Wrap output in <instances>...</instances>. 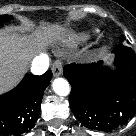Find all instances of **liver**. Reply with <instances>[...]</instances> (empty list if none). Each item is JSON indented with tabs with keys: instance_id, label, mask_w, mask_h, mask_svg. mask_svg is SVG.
Masks as SVG:
<instances>
[{
	"instance_id": "obj_1",
	"label": "liver",
	"mask_w": 136,
	"mask_h": 136,
	"mask_svg": "<svg viewBox=\"0 0 136 136\" xmlns=\"http://www.w3.org/2000/svg\"><path fill=\"white\" fill-rule=\"evenodd\" d=\"M28 32V28L19 32L13 27L0 31V93L15 86L33 56L54 37L63 35L64 29L48 25Z\"/></svg>"
}]
</instances>
